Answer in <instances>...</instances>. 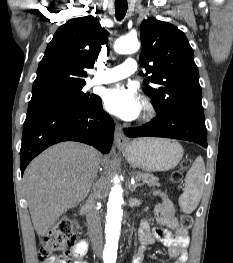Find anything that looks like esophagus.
<instances>
[{"mask_svg": "<svg viewBox=\"0 0 233 263\" xmlns=\"http://www.w3.org/2000/svg\"><path fill=\"white\" fill-rule=\"evenodd\" d=\"M114 142L118 148H123L128 144V139L123 132L122 126L118 123L115 125Z\"/></svg>", "mask_w": 233, "mask_h": 263, "instance_id": "34e87169", "label": "esophagus"}]
</instances>
